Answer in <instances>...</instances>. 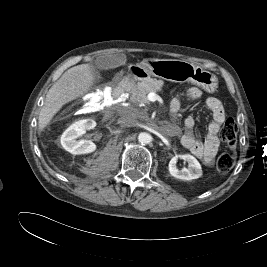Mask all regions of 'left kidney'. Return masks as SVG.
Instances as JSON below:
<instances>
[{"label": "left kidney", "instance_id": "1", "mask_svg": "<svg viewBox=\"0 0 267 267\" xmlns=\"http://www.w3.org/2000/svg\"><path fill=\"white\" fill-rule=\"evenodd\" d=\"M178 157L188 162V168H183L182 170H178L176 166ZM168 170L173 177L185 181L197 179L202 175V168L200 163L194 156L190 154L174 156L169 162Z\"/></svg>", "mask_w": 267, "mask_h": 267}]
</instances>
